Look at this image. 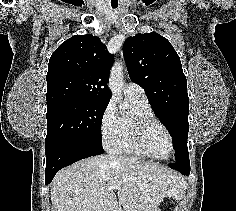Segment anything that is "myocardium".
I'll return each mask as SVG.
<instances>
[{
  "label": "myocardium",
  "mask_w": 236,
  "mask_h": 211,
  "mask_svg": "<svg viewBox=\"0 0 236 211\" xmlns=\"http://www.w3.org/2000/svg\"><path fill=\"white\" fill-rule=\"evenodd\" d=\"M153 126L161 127L168 136L170 142V150L166 156H156L146 151L143 147V137L146 131ZM129 141L139 155L156 160H166L172 155L174 151L173 136L167 126L157 119L149 118L139 114L133 115L129 120Z\"/></svg>",
  "instance_id": "myocardium-1"
}]
</instances>
